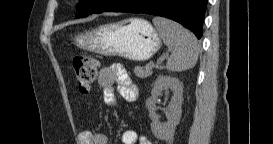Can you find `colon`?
Listing matches in <instances>:
<instances>
[{
  "instance_id": "obj_1",
  "label": "colon",
  "mask_w": 273,
  "mask_h": 144,
  "mask_svg": "<svg viewBox=\"0 0 273 144\" xmlns=\"http://www.w3.org/2000/svg\"><path fill=\"white\" fill-rule=\"evenodd\" d=\"M73 68L80 92L87 93L93 86L98 70V63L87 56H76Z\"/></svg>"
}]
</instances>
